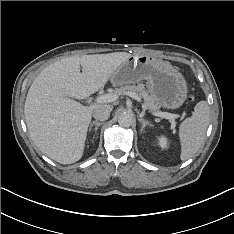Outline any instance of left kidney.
I'll return each mask as SVG.
<instances>
[{
    "label": "left kidney",
    "instance_id": "obj_1",
    "mask_svg": "<svg viewBox=\"0 0 234 234\" xmlns=\"http://www.w3.org/2000/svg\"><path fill=\"white\" fill-rule=\"evenodd\" d=\"M158 145H159L162 149L167 148V146H168L167 138L164 137V136H160V137L158 138Z\"/></svg>",
    "mask_w": 234,
    "mask_h": 234
}]
</instances>
